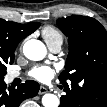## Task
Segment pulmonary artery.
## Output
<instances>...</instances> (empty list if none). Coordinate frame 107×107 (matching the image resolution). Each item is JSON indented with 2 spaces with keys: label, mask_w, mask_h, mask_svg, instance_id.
Listing matches in <instances>:
<instances>
[{
  "label": "pulmonary artery",
  "mask_w": 107,
  "mask_h": 107,
  "mask_svg": "<svg viewBox=\"0 0 107 107\" xmlns=\"http://www.w3.org/2000/svg\"><path fill=\"white\" fill-rule=\"evenodd\" d=\"M61 45L62 43L61 42H56V43H53L51 45H49V48L53 51V52H59L60 49H61ZM19 76V73L18 72H10L8 75H7V79L9 81H12L13 79H15L16 77Z\"/></svg>",
  "instance_id": "pulmonary-artery-1"
}]
</instances>
